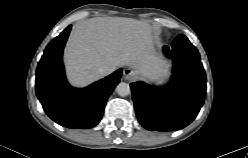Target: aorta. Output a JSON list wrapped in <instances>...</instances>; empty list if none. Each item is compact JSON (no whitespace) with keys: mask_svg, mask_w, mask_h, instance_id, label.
Here are the masks:
<instances>
[{"mask_svg":"<svg viewBox=\"0 0 248 158\" xmlns=\"http://www.w3.org/2000/svg\"><path fill=\"white\" fill-rule=\"evenodd\" d=\"M116 92L120 96H127L131 93V89L128 83L120 82L116 87Z\"/></svg>","mask_w":248,"mask_h":158,"instance_id":"762f6f07","label":"aorta"}]
</instances>
